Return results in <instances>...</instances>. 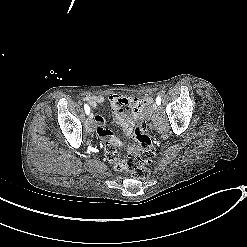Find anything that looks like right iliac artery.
<instances>
[{
    "label": "right iliac artery",
    "instance_id": "obj_1",
    "mask_svg": "<svg viewBox=\"0 0 247 247\" xmlns=\"http://www.w3.org/2000/svg\"><path fill=\"white\" fill-rule=\"evenodd\" d=\"M84 109H85L86 114L90 113V107L87 104L84 105Z\"/></svg>",
    "mask_w": 247,
    "mask_h": 247
}]
</instances>
